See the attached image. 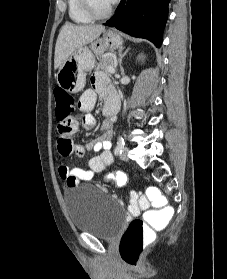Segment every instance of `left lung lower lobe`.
<instances>
[{
    "label": "left lung lower lobe",
    "mask_w": 227,
    "mask_h": 279,
    "mask_svg": "<svg viewBox=\"0 0 227 279\" xmlns=\"http://www.w3.org/2000/svg\"><path fill=\"white\" fill-rule=\"evenodd\" d=\"M170 0H121L115 14L104 25L135 37L146 38L157 47L168 17Z\"/></svg>",
    "instance_id": "obj_1"
}]
</instances>
